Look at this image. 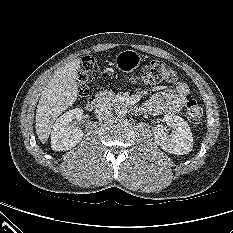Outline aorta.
I'll return each mask as SVG.
<instances>
[{"label": "aorta", "instance_id": "762f6f07", "mask_svg": "<svg viewBox=\"0 0 233 233\" xmlns=\"http://www.w3.org/2000/svg\"><path fill=\"white\" fill-rule=\"evenodd\" d=\"M115 114L118 117H125L127 115V108L125 106H117L115 108Z\"/></svg>", "mask_w": 233, "mask_h": 233}]
</instances>
